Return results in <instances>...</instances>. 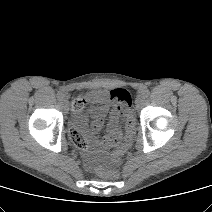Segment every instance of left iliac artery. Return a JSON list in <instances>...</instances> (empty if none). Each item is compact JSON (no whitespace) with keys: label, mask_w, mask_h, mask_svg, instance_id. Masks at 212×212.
I'll use <instances>...</instances> for the list:
<instances>
[{"label":"left iliac artery","mask_w":212,"mask_h":212,"mask_svg":"<svg viewBox=\"0 0 212 212\" xmlns=\"http://www.w3.org/2000/svg\"><path fill=\"white\" fill-rule=\"evenodd\" d=\"M143 95H144L145 97H148V96L150 95V91H149L148 89L144 90V91H143Z\"/></svg>","instance_id":"1"}]
</instances>
